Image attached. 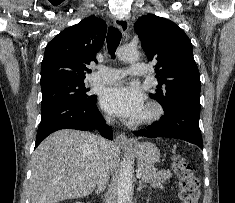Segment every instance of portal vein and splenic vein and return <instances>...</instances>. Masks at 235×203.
Returning a JSON list of instances; mask_svg holds the SVG:
<instances>
[{"mask_svg": "<svg viewBox=\"0 0 235 203\" xmlns=\"http://www.w3.org/2000/svg\"><path fill=\"white\" fill-rule=\"evenodd\" d=\"M136 176H137V178H141L142 177V173L138 172Z\"/></svg>", "mask_w": 235, "mask_h": 203, "instance_id": "1", "label": "portal vein and splenic vein"}]
</instances>
